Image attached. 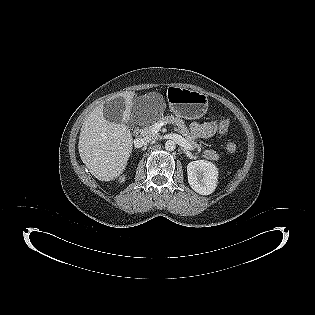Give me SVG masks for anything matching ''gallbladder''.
Instances as JSON below:
<instances>
[{
  "instance_id": "bac80fb5",
  "label": "gallbladder",
  "mask_w": 315,
  "mask_h": 315,
  "mask_svg": "<svg viewBox=\"0 0 315 315\" xmlns=\"http://www.w3.org/2000/svg\"><path fill=\"white\" fill-rule=\"evenodd\" d=\"M124 111L125 103L121 97L108 101L103 105V117L109 122H123Z\"/></svg>"
}]
</instances>
